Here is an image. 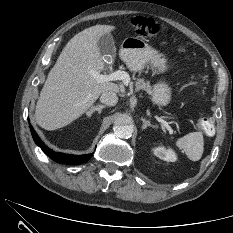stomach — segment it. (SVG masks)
<instances>
[{"label": "stomach", "mask_w": 233, "mask_h": 233, "mask_svg": "<svg viewBox=\"0 0 233 233\" xmlns=\"http://www.w3.org/2000/svg\"><path fill=\"white\" fill-rule=\"evenodd\" d=\"M120 57L132 71H140L149 63L160 73L168 69L166 57L137 37H128L122 42ZM152 100L158 105H167L170 102L171 88L166 82L155 84Z\"/></svg>", "instance_id": "obj_1"}]
</instances>
